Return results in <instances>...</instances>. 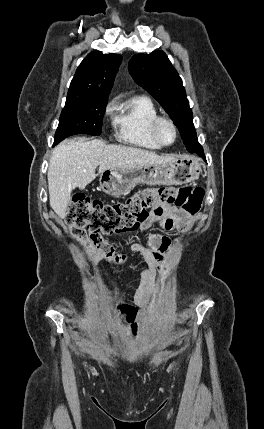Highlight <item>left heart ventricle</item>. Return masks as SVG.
Listing matches in <instances>:
<instances>
[{
  "label": "left heart ventricle",
  "instance_id": "left-heart-ventricle-1",
  "mask_svg": "<svg viewBox=\"0 0 264 429\" xmlns=\"http://www.w3.org/2000/svg\"><path fill=\"white\" fill-rule=\"evenodd\" d=\"M160 136L163 141L169 143L173 140L174 133L171 126L167 123H163L160 127Z\"/></svg>",
  "mask_w": 264,
  "mask_h": 429
}]
</instances>
